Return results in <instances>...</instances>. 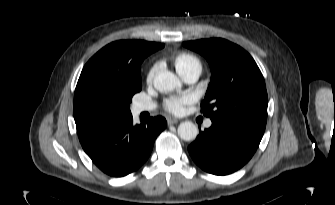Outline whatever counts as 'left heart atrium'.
<instances>
[{
	"mask_svg": "<svg viewBox=\"0 0 335 205\" xmlns=\"http://www.w3.org/2000/svg\"><path fill=\"white\" fill-rule=\"evenodd\" d=\"M193 101L192 96L183 95L180 97H170L165 101L166 109L173 114H181L186 105Z\"/></svg>",
	"mask_w": 335,
	"mask_h": 205,
	"instance_id": "obj_1",
	"label": "left heart atrium"
}]
</instances>
